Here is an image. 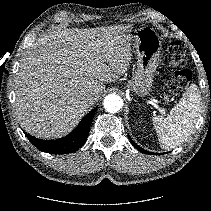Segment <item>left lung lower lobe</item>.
<instances>
[{"instance_id":"obj_1","label":"left lung lower lobe","mask_w":211,"mask_h":211,"mask_svg":"<svg viewBox=\"0 0 211 211\" xmlns=\"http://www.w3.org/2000/svg\"><path fill=\"white\" fill-rule=\"evenodd\" d=\"M129 140L130 142L134 145L135 148H137L140 152L142 153H146V154H151V155H159V153H152V152H149V151H145L143 148H141L140 146H138L132 139L131 137L129 136Z\"/></svg>"}]
</instances>
